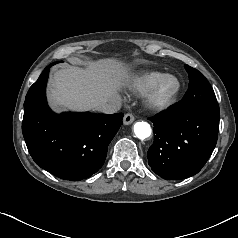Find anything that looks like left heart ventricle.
<instances>
[{
    "label": "left heart ventricle",
    "mask_w": 238,
    "mask_h": 238,
    "mask_svg": "<svg viewBox=\"0 0 238 238\" xmlns=\"http://www.w3.org/2000/svg\"><path fill=\"white\" fill-rule=\"evenodd\" d=\"M176 87V82L173 79L164 80L159 87V95L164 97L170 94Z\"/></svg>",
    "instance_id": "b2bd125f"
}]
</instances>
